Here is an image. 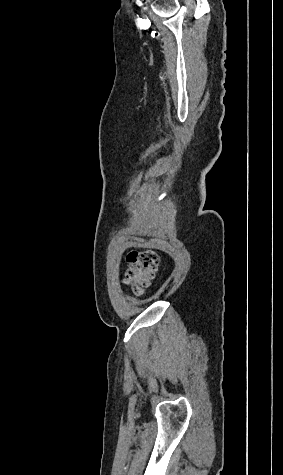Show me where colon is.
I'll list each match as a JSON object with an SVG mask.
<instances>
[{
  "label": "colon",
  "instance_id": "colon-1",
  "mask_svg": "<svg viewBox=\"0 0 283 475\" xmlns=\"http://www.w3.org/2000/svg\"><path fill=\"white\" fill-rule=\"evenodd\" d=\"M128 259L131 263V267L125 272L124 282L130 286L137 295L142 294L158 268V254L153 249H142L132 251Z\"/></svg>",
  "mask_w": 283,
  "mask_h": 475
}]
</instances>
